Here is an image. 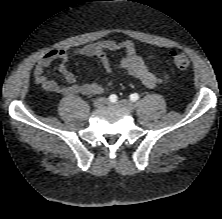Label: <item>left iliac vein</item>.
Masks as SVG:
<instances>
[{
	"label": "left iliac vein",
	"instance_id": "obj_1",
	"mask_svg": "<svg viewBox=\"0 0 222 219\" xmlns=\"http://www.w3.org/2000/svg\"><path fill=\"white\" fill-rule=\"evenodd\" d=\"M118 105L123 107L125 110H127L129 112L134 110V104L131 101H129V100H125V99L120 100L118 102Z\"/></svg>",
	"mask_w": 222,
	"mask_h": 219
}]
</instances>
